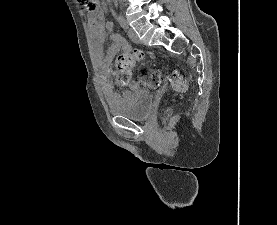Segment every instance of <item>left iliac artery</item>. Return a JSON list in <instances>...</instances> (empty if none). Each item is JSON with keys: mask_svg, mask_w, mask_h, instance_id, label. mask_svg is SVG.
<instances>
[{"mask_svg": "<svg viewBox=\"0 0 277 225\" xmlns=\"http://www.w3.org/2000/svg\"><path fill=\"white\" fill-rule=\"evenodd\" d=\"M119 23H120L122 28H124V29L128 28V24H127V22H126V20L124 18L120 17L119 18Z\"/></svg>", "mask_w": 277, "mask_h": 225, "instance_id": "obj_1", "label": "left iliac artery"}]
</instances>
